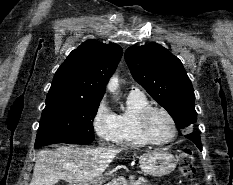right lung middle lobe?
Segmentation results:
<instances>
[{"label":"right lung middle lobe","instance_id":"right-lung-middle-lobe-1","mask_svg":"<svg viewBox=\"0 0 233 185\" xmlns=\"http://www.w3.org/2000/svg\"><path fill=\"white\" fill-rule=\"evenodd\" d=\"M100 101L48 94L35 147L52 143L90 144L94 140L92 120Z\"/></svg>","mask_w":233,"mask_h":185}]
</instances>
